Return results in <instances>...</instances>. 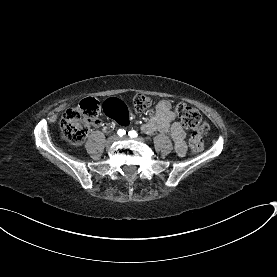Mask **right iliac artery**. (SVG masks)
Listing matches in <instances>:
<instances>
[{
	"label": "right iliac artery",
	"instance_id": "1",
	"mask_svg": "<svg viewBox=\"0 0 277 277\" xmlns=\"http://www.w3.org/2000/svg\"><path fill=\"white\" fill-rule=\"evenodd\" d=\"M117 134H118V136L122 137V136H124L126 134V131L124 129H119L117 131Z\"/></svg>",
	"mask_w": 277,
	"mask_h": 277
}]
</instances>
